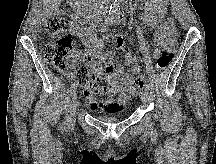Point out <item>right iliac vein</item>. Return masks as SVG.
Instances as JSON below:
<instances>
[{
	"instance_id": "obj_1",
	"label": "right iliac vein",
	"mask_w": 216,
	"mask_h": 164,
	"mask_svg": "<svg viewBox=\"0 0 216 164\" xmlns=\"http://www.w3.org/2000/svg\"><path fill=\"white\" fill-rule=\"evenodd\" d=\"M78 105V99H77V94L74 91L71 95V100L69 104V109H70V119L69 122H72V119L75 117L76 114V107Z\"/></svg>"
}]
</instances>
